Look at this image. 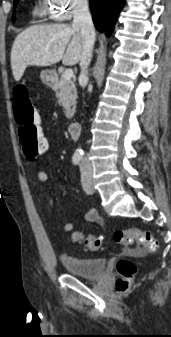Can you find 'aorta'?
<instances>
[{
	"instance_id": "aorta-1",
	"label": "aorta",
	"mask_w": 171,
	"mask_h": 337,
	"mask_svg": "<svg viewBox=\"0 0 171 337\" xmlns=\"http://www.w3.org/2000/svg\"><path fill=\"white\" fill-rule=\"evenodd\" d=\"M75 154L80 156L83 154V150L79 147L78 149H76Z\"/></svg>"
}]
</instances>
